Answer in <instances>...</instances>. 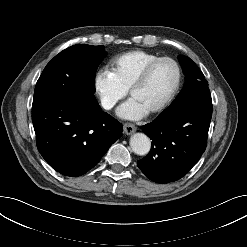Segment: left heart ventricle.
Masks as SVG:
<instances>
[{"label": "left heart ventricle", "mask_w": 247, "mask_h": 247, "mask_svg": "<svg viewBox=\"0 0 247 247\" xmlns=\"http://www.w3.org/2000/svg\"><path fill=\"white\" fill-rule=\"evenodd\" d=\"M175 79L174 65L168 61L160 62L154 67L144 85L133 92L132 98L150 110L164 100L172 89Z\"/></svg>", "instance_id": "1"}]
</instances>
